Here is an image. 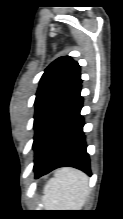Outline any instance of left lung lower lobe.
Segmentation results:
<instances>
[{
  "mask_svg": "<svg viewBox=\"0 0 123 219\" xmlns=\"http://www.w3.org/2000/svg\"><path fill=\"white\" fill-rule=\"evenodd\" d=\"M80 92L81 84L43 126L34 146L36 178L66 166L91 174L83 133L84 120L80 115L83 104Z\"/></svg>",
  "mask_w": 123,
  "mask_h": 219,
  "instance_id": "left-lung-lower-lobe-1",
  "label": "left lung lower lobe"
}]
</instances>
